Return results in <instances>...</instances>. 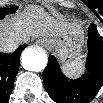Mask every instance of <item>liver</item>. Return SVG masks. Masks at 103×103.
<instances>
[{
    "mask_svg": "<svg viewBox=\"0 0 103 103\" xmlns=\"http://www.w3.org/2000/svg\"><path fill=\"white\" fill-rule=\"evenodd\" d=\"M77 30L74 25L50 17L42 8L29 6L21 16L1 23L0 40L1 44L20 45L30 37H57Z\"/></svg>",
    "mask_w": 103,
    "mask_h": 103,
    "instance_id": "obj_1",
    "label": "liver"
}]
</instances>
